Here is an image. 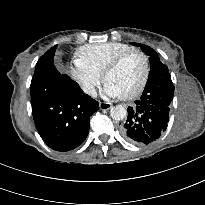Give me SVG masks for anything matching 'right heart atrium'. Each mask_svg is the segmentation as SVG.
I'll use <instances>...</instances> for the list:
<instances>
[{"instance_id": "1", "label": "right heart atrium", "mask_w": 205, "mask_h": 205, "mask_svg": "<svg viewBox=\"0 0 205 205\" xmlns=\"http://www.w3.org/2000/svg\"><path fill=\"white\" fill-rule=\"evenodd\" d=\"M72 78L77 82L82 91L94 96L96 88L101 82V76L76 59L70 69Z\"/></svg>"}]
</instances>
